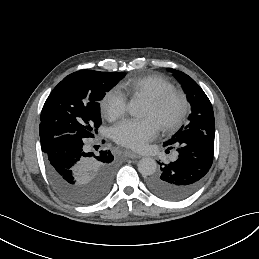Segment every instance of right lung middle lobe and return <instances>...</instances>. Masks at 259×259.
Segmentation results:
<instances>
[{
  "label": "right lung middle lobe",
  "mask_w": 259,
  "mask_h": 259,
  "mask_svg": "<svg viewBox=\"0 0 259 259\" xmlns=\"http://www.w3.org/2000/svg\"><path fill=\"white\" fill-rule=\"evenodd\" d=\"M124 73L87 70L59 83L41 112L40 139L52 141L63 135L71 139L94 138L101 125L99 101Z\"/></svg>",
  "instance_id": "1"
}]
</instances>
